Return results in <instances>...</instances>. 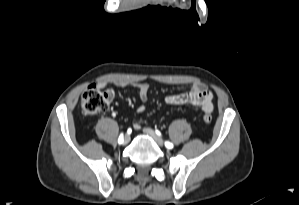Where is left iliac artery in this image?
Wrapping results in <instances>:
<instances>
[{
  "label": "left iliac artery",
  "instance_id": "obj_1",
  "mask_svg": "<svg viewBox=\"0 0 299 205\" xmlns=\"http://www.w3.org/2000/svg\"><path fill=\"white\" fill-rule=\"evenodd\" d=\"M165 146L168 148V149H172L173 148V144L169 141H166L165 142Z\"/></svg>",
  "mask_w": 299,
  "mask_h": 205
}]
</instances>
